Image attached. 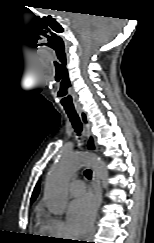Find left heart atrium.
Segmentation results:
<instances>
[{
    "label": "left heart atrium",
    "instance_id": "left-heart-atrium-1",
    "mask_svg": "<svg viewBox=\"0 0 154 243\" xmlns=\"http://www.w3.org/2000/svg\"><path fill=\"white\" fill-rule=\"evenodd\" d=\"M95 216V202L90 195L72 201L68 209V220L72 231L77 235L88 232Z\"/></svg>",
    "mask_w": 154,
    "mask_h": 243
}]
</instances>
